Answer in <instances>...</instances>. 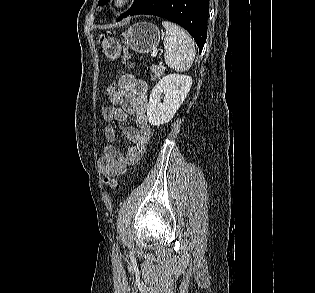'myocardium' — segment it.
<instances>
[{
    "mask_svg": "<svg viewBox=\"0 0 315 293\" xmlns=\"http://www.w3.org/2000/svg\"><path fill=\"white\" fill-rule=\"evenodd\" d=\"M131 2L132 0H109L108 5L114 11H121L126 9Z\"/></svg>",
    "mask_w": 315,
    "mask_h": 293,
    "instance_id": "myocardium-1",
    "label": "myocardium"
}]
</instances>
